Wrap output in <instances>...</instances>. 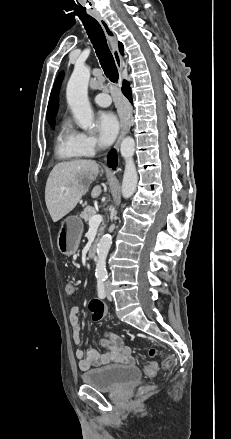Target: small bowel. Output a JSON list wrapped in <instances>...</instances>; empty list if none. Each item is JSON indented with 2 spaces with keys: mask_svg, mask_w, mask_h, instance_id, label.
<instances>
[{
  "mask_svg": "<svg viewBox=\"0 0 231 439\" xmlns=\"http://www.w3.org/2000/svg\"><path fill=\"white\" fill-rule=\"evenodd\" d=\"M69 322L71 326L73 340L76 345H80L81 339V319L80 308L73 306L69 314ZM104 348L103 351L91 348L88 351H84L82 348H77L75 356L78 360V366L80 370L86 371L92 366H104L112 363L117 364H132L133 357L131 349L125 345L123 339L114 334L108 333L106 337L101 341Z\"/></svg>",
  "mask_w": 231,
  "mask_h": 439,
  "instance_id": "small-bowel-1",
  "label": "small bowel"
}]
</instances>
